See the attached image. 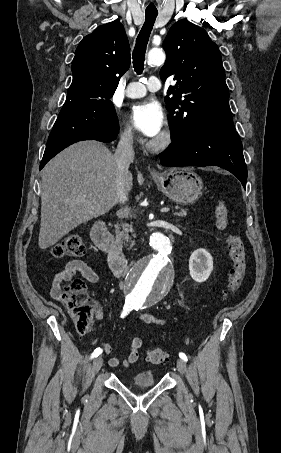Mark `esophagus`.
<instances>
[{"label":"esophagus","instance_id":"1","mask_svg":"<svg viewBox=\"0 0 281 453\" xmlns=\"http://www.w3.org/2000/svg\"><path fill=\"white\" fill-rule=\"evenodd\" d=\"M151 172H152V173H154V172H155V170H154V169H151Z\"/></svg>","mask_w":281,"mask_h":453}]
</instances>
